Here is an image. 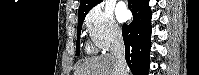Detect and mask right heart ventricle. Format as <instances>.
Returning <instances> with one entry per match:
<instances>
[{
    "label": "right heart ventricle",
    "mask_w": 199,
    "mask_h": 75,
    "mask_svg": "<svg viewBox=\"0 0 199 75\" xmlns=\"http://www.w3.org/2000/svg\"><path fill=\"white\" fill-rule=\"evenodd\" d=\"M90 49H91V48H90V47H88V50H89V51H90Z\"/></svg>",
    "instance_id": "right-heart-ventricle-1"
}]
</instances>
